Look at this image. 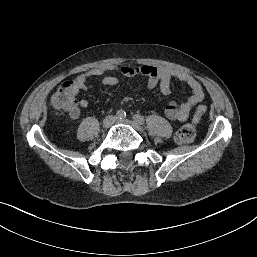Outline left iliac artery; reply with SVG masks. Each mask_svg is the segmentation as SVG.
<instances>
[{"label": "left iliac artery", "mask_w": 257, "mask_h": 257, "mask_svg": "<svg viewBox=\"0 0 257 257\" xmlns=\"http://www.w3.org/2000/svg\"><path fill=\"white\" fill-rule=\"evenodd\" d=\"M133 120H134L135 122L139 123V124H144V122H145L144 117L141 116L140 114H135V115L133 116Z\"/></svg>", "instance_id": "44dca946"}]
</instances>
